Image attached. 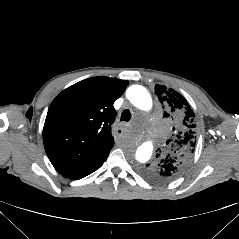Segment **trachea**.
<instances>
[{"instance_id": "trachea-1", "label": "trachea", "mask_w": 239, "mask_h": 239, "mask_svg": "<svg viewBox=\"0 0 239 239\" xmlns=\"http://www.w3.org/2000/svg\"><path fill=\"white\" fill-rule=\"evenodd\" d=\"M130 118H131V113H130L129 109H126L122 112L120 121L128 122L130 120Z\"/></svg>"}]
</instances>
